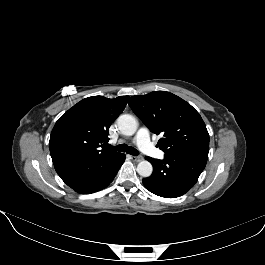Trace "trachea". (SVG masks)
I'll return each instance as SVG.
<instances>
[{"mask_svg": "<svg viewBox=\"0 0 265 265\" xmlns=\"http://www.w3.org/2000/svg\"><path fill=\"white\" fill-rule=\"evenodd\" d=\"M106 147L112 149V150H115V151H119V152H126L130 155H134V156H137L139 155V152L131 147V146H127L126 144H119L117 146H111V145H106Z\"/></svg>", "mask_w": 265, "mask_h": 265, "instance_id": "1", "label": "trachea"}]
</instances>
